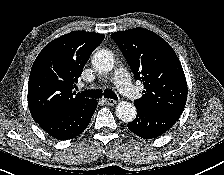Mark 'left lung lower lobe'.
Returning a JSON list of instances; mask_svg holds the SVG:
<instances>
[{"label":"left lung lower lobe","mask_w":224,"mask_h":175,"mask_svg":"<svg viewBox=\"0 0 224 175\" xmlns=\"http://www.w3.org/2000/svg\"><path fill=\"white\" fill-rule=\"evenodd\" d=\"M136 109V119L127 126L130 131L144 139H152L164 134L179 118L173 114L153 112L139 107Z\"/></svg>","instance_id":"obj_1"}]
</instances>
